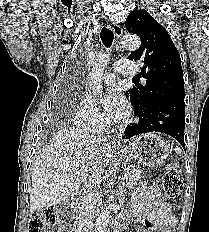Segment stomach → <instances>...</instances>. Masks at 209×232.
Here are the masks:
<instances>
[{"label": "stomach", "mask_w": 209, "mask_h": 232, "mask_svg": "<svg viewBox=\"0 0 209 232\" xmlns=\"http://www.w3.org/2000/svg\"><path fill=\"white\" fill-rule=\"evenodd\" d=\"M126 157L149 167H161L168 157L169 145L155 134H144L119 148Z\"/></svg>", "instance_id": "0dacf381"}]
</instances>
